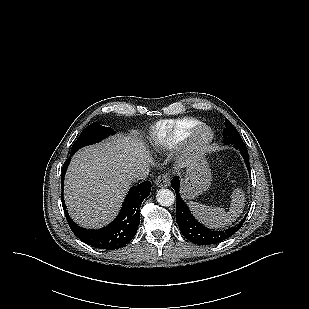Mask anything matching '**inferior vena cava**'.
I'll list each match as a JSON object with an SVG mask.
<instances>
[{
    "label": "inferior vena cava",
    "instance_id": "obj_1",
    "mask_svg": "<svg viewBox=\"0 0 309 309\" xmlns=\"http://www.w3.org/2000/svg\"><path fill=\"white\" fill-rule=\"evenodd\" d=\"M148 174H149V169L147 167H144V166L137 167L130 172L129 178L132 181L143 180V179H146Z\"/></svg>",
    "mask_w": 309,
    "mask_h": 309
}]
</instances>
